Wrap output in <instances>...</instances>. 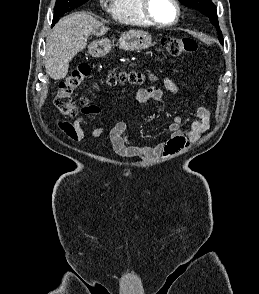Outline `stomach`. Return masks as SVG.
Masks as SVG:
<instances>
[{
	"label": "stomach",
	"instance_id": "obj_1",
	"mask_svg": "<svg viewBox=\"0 0 259 294\" xmlns=\"http://www.w3.org/2000/svg\"><path fill=\"white\" fill-rule=\"evenodd\" d=\"M152 46V37L146 31L132 30L121 34L119 47L125 51H138ZM109 39H99L91 43L88 47L89 53L93 57H101L111 50Z\"/></svg>",
	"mask_w": 259,
	"mask_h": 294
}]
</instances>
